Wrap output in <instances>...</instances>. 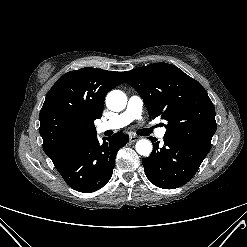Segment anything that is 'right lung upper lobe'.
<instances>
[{
	"instance_id": "right-lung-upper-lobe-1",
	"label": "right lung upper lobe",
	"mask_w": 247,
	"mask_h": 247,
	"mask_svg": "<svg viewBox=\"0 0 247 247\" xmlns=\"http://www.w3.org/2000/svg\"><path fill=\"white\" fill-rule=\"evenodd\" d=\"M124 83L120 72L91 67L61 76L47 93L40 111L43 149L57 163L79 142L96 136L106 94Z\"/></svg>"
}]
</instances>
